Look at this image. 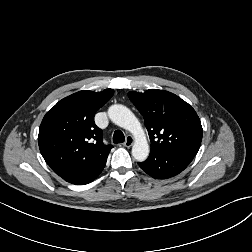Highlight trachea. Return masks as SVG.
Listing matches in <instances>:
<instances>
[{
	"label": "trachea",
	"mask_w": 252,
	"mask_h": 252,
	"mask_svg": "<svg viewBox=\"0 0 252 252\" xmlns=\"http://www.w3.org/2000/svg\"><path fill=\"white\" fill-rule=\"evenodd\" d=\"M125 141L124 134L121 130H116L113 134V143H123Z\"/></svg>",
	"instance_id": "obj_1"
}]
</instances>
